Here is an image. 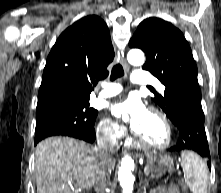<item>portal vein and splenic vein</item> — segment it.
Here are the masks:
<instances>
[{
    "mask_svg": "<svg viewBox=\"0 0 221 193\" xmlns=\"http://www.w3.org/2000/svg\"><path fill=\"white\" fill-rule=\"evenodd\" d=\"M144 172H145L146 175L149 174L150 171H149V166L148 165L145 167Z\"/></svg>",
    "mask_w": 221,
    "mask_h": 193,
    "instance_id": "1",
    "label": "portal vein and splenic vein"
}]
</instances>
